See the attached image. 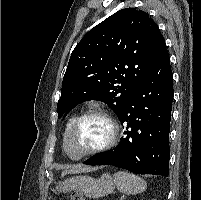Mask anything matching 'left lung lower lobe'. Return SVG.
I'll return each mask as SVG.
<instances>
[{
  "mask_svg": "<svg viewBox=\"0 0 201 200\" xmlns=\"http://www.w3.org/2000/svg\"><path fill=\"white\" fill-rule=\"evenodd\" d=\"M173 75L166 52L130 95L120 122H127L125 137L112 150L83 162L113 165L137 174L167 177L169 174V132L173 102Z\"/></svg>",
  "mask_w": 201,
  "mask_h": 200,
  "instance_id": "left-lung-lower-lobe-1",
  "label": "left lung lower lobe"
}]
</instances>
